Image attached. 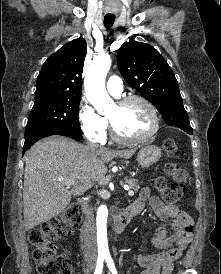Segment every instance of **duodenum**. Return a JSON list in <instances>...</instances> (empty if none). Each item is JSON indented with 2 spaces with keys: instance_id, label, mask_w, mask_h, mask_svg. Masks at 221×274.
Here are the masks:
<instances>
[{
  "instance_id": "obj_1",
  "label": "duodenum",
  "mask_w": 221,
  "mask_h": 274,
  "mask_svg": "<svg viewBox=\"0 0 221 274\" xmlns=\"http://www.w3.org/2000/svg\"><path fill=\"white\" fill-rule=\"evenodd\" d=\"M78 204L81 206V209L83 210V213L85 216L88 214V207L87 202L84 199H80L78 201ZM137 214V210L134 208L133 205L128 206L125 208L122 212L114 216L113 219V226L116 233H122L124 232L131 219Z\"/></svg>"
}]
</instances>
